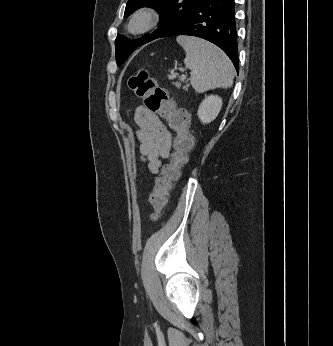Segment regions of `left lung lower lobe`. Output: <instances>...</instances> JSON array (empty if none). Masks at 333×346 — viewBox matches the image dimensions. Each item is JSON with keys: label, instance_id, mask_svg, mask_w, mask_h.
<instances>
[{"label": "left lung lower lobe", "instance_id": "0a47b994", "mask_svg": "<svg viewBox=\"0 0 333 346\" xmlns=\"http://www.w3.org/2000/svg\"><path fill=\"white\" fill-rule=\"evenodd\" d=\"M190 35L220 47L239 71L234 0H199L188 14L160 37Z\"/></svg>", "mask_w": 333, "mask_h": 346}]
</instances>
